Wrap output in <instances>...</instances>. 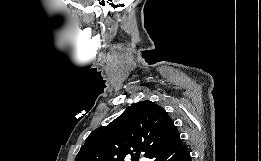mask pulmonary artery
<instances>
[{
	"label": "pulmonary artery",
	"instance_id": "1",
	"mask_svg": "<svg viewBox=\"0 0 261 161\" xmlns=\"http://www.w3.org/2000/svg\"><path fill=\"white\" fill-rule=\"evenodd\" d=\"M140 161H150L148 158H145V157H141L140 158Z\"/></svg>",
	"mask_w": 261,
	"mask_h": 161
}]
</instances>
